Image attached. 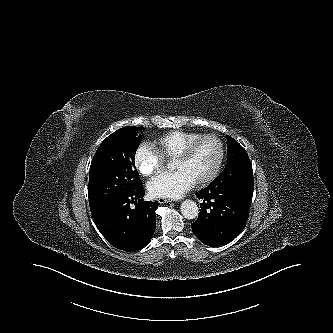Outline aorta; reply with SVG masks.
<instances>
[{
	"instance_id": "aorta-1",
	"label": "aorta",
	"mask_w": 333,
	"mask_h": 333,
	"mask_svg": "<svg viewBox=\"0 0 333 333\" xmlns=\"http://www.w3.org/2000/svg\"><path fill=\"white\" fill-rule=\"evenodd\" d=\"M180 210L186 219H195L199 214V208L196 202L189 199L182 202Z\"/></svg>"
}]
</instances>
